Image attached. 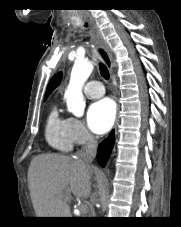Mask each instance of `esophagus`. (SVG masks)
Wrapping results in <instances>:
<instances>
[{"instance_id": "34e87169", "label": "esophagus", "mask_w": 181, "mask_h": 227, "mask_svg": "<svg viewBox=\"0 0 181 227\" xmlns=\"http://www.w3.org/2000/svg\"><path fill=\"white\" fill-rule=\"evenodd\" d=\"M91 31H92V38H93V41L95 44V50L100 55V57L102 58L104 63L111 69L113 66L112 56H111L107 46L103 42L102 37H101L100 33L98 32V30H96V28L91 27Z\"/></svg>"}]
</instances>
